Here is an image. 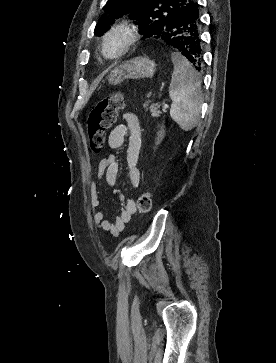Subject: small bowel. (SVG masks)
Returning a JSON list of instances; mask_svg holds the SVG:
<instances>
[{
	"mask_svg": "<svg viewBox=\"0 0 276 363\" xmlns=\"http://www.w3.org/2000/svg\"><path fill=\"white\" fill-rule=\"evenodd\" d=\"M122 119L123 122L111 130L108 136V145L111 149H120L124 145L126 136L129 135L126 169L131 184L134 187H138L141 182L140 171L137 166L142 145L141 126L138 117L134 113L126 112L123 114ZM119 170L120 164L118 158L113 154L107 155L100 161L98 177L90 185V203L94 223L98 229L108 232L112 236L120 235L136 212L135 201L132 198H125L119 191L116 193L122 201V207L113 222L105 217L104 211L100 207V187L103 183L108 186H115Z\"/></svg>",
	"mask_w": 276,
	"mask_h": 363,
	"instance_id": "obj_1",
	"label": "small bowel"
}]
</instances>
